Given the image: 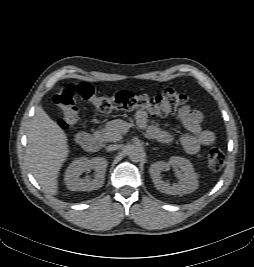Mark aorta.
<instances>
[{
  "label": "aorta",
  "mask_w": 254,
  "mask_h": 267,
  "mask_svg": "<svg viewBox=\"0 0 254 267\" xmlns=\"http://www.w3.org/2000/svg\"><path fill=\"white\" fill-rule=\"evenodd\" d=\"M127 154H128L129 159L131 161H133V162H139L144 157L143 151L140 148L135 147L133 145H131V146L128 147Z\"/></svg>",
  "instance_id": "762f6f07"
}]
</instances>
